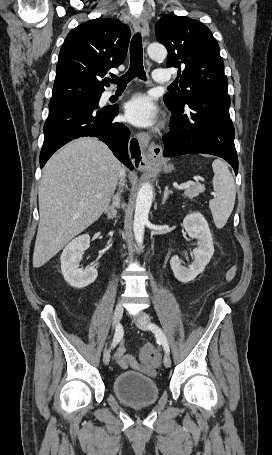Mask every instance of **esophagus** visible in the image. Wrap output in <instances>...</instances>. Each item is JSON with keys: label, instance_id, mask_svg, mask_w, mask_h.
<instances>
[{"label": "esophagus", "instance_id": "esophagus-1", "mask_svg": "<svg viewBox=\"0 0 272 455\" xmlns=\"http://www.w3.org/2000/svg\"><path fill=\"white\" fill-rule=\"evenodd\" d=\"M133 26L143 37L149 35V25L145 16L138 17ZM130 152L134 166L138 170H143L160 159L162 148L150 140L148 133L140 132L131 140Z\"/></svg>", "mask_w": 272, "mask_h": 455}]
</instances>
